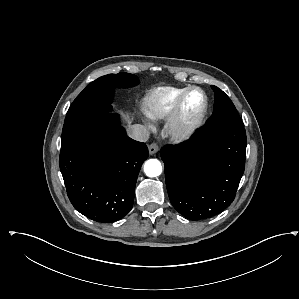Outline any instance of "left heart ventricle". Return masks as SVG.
I'll use <instances>...</instances> for the list:
<instances>
[{"mask_svg": "<svg viewBox=\"0 0 299 299\" xmlns=\"http://www.w3.org/2000/svg\"><path fill=\"white\" fill-rule=\"evenodd\" d=\"M203 104L202 96L199 92H192L186 99L183 115L186 119H191L196 116L201 110Z\"/></svg>", "mask_w": 299, "mask_h": 299, "instance_id": "left-heart-ventricle-1", "label": "left heart ventricle"}]
</instances>
